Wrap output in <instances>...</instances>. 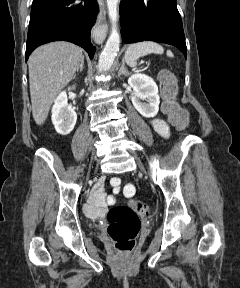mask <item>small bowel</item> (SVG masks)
Instances as JSON below:
<instances>
[{
	"instance_id": "1",
	"label": "small bowel",
	"mask_w": 240,
	"mask_h": 288,
	"mask_svg": "<svg viewBox=\"0 0 240 288\" xmlns=\"http://www.w3.org/2000/svg\"><path fill=\"white\" fill-rule=\"evenodd\" d=\"M154 130L162 137L169 136V126L168 124L159 118H155L150 121ZM111 185L113 187L114 194L120 192V180L118 178H113L111 180ZM125 195L130 197L134 193V187L131 184L126 185L124 189ZM115 198L109 197L106 199V195L103 190V180H100L93 190L87 205L85 206V212L90 218H98L105 214L107 204H114Z\"/></svg>"
}]
</instances>
